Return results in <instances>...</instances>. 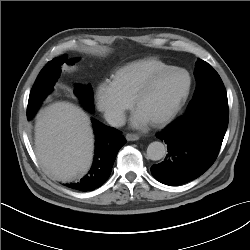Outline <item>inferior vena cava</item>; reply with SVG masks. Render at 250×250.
Here are the masks:
<instances>
[{
    "instance_id": "obj_1",
    "label": "inferior vena cava",
    "mask_w": 250,
    "mask_h": 250,
    "mask_svg": "<svg viewBox=\"0 0 250 250\" xmlns=\"http://www.w3.org/2000/svg\"><path fill=\"white\" fill-rule=\"evenodd\" d=\"M105 119L110 125L114 127H121L125 124V115L119 111L106 112Z\"/></svg>"
}]
</instances>
